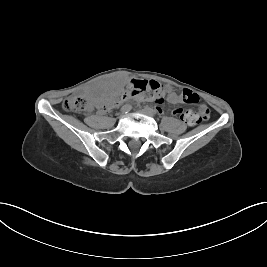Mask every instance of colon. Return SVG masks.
Here are the masks:
<instances>
[{
    "label": "colon",
    "instance_id": "colon-1",
    "mask_svg": "<svg viewBox=\"0 0 267 267\" xmlns=\"http://www.w3.org/2000/svg\"><path fill=\"white\" fill-rule=\"evenodd\" d=\"M165 94V88L158 82L136 79L132 80L126 89L121 90L114 95L106 103L105 108L109 110L120 100L136 98L138 96H143V99L160 103L164 100ZM181 94L183 102L196 106L195 111H191V113L197 118L198 121L207 120L209 118V109L204 103L200 102V98L197 94L188 89L183 90ZM63 108L68 112H84L89 110L90 101L82 94H73L64 100ZM174 114L178 115L180 118L184 116L181 109H175Z\"/></svg>",
    "mask_w": 267,
    "mask_h": 267
}]
</instances>
